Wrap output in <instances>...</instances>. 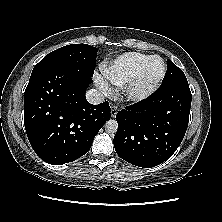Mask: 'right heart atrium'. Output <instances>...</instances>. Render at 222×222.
<instances>
[{"label":"right heart atrium","instance_id":"1","mask_svg":"<svg viewBox=\"0 0 222 222\" xmlns=\"http://www.w3.org/2000/svg\"><path fill=\"white\" fill-rule=\"evenodd\" d=\"M95 82H96V85L98 86V88L101 89L104 93L108 94L111 92V87L105 79L97 76L95 78Z\"/></svg>","mask_w":222,"mask_h":222}]
</instances>
